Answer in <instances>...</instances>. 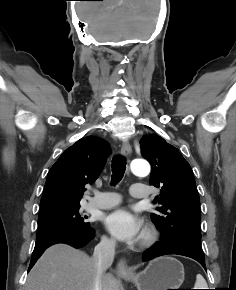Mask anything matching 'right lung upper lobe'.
Wrapping results in <instances>:
<instances>
[{
  "instance_id": "cb5924a9",
  "label": "right lung upper lobe",
  "mask_w": 236,
  "mask_h": 290,
  "mask_svg": "<svg viewBox=\"0 0 236 290\" xmlns=\"http://www.w3.org/2000/svg\"><path fill=\"white\" fill-rule=\"evenodd\" d=\"M109 154V144L94 136L81 138L66 149L47 175L40 210L79 205L85 185L96 181Z\"/></svg>"
}]
</instances>
